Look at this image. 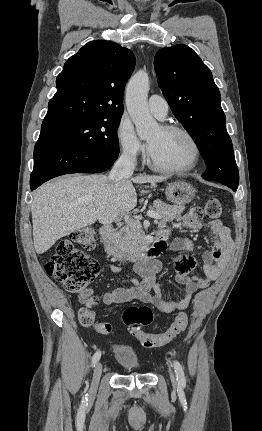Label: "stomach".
I'll return each instance as SVG.
<instances>
[{
    "mask_svg": "<svg viewBox=\"0 0 262 431\" xmlns=\"http://www.w3.org/2000/svg\"><path fill=\"white\" fill-rule=\"evenodd\" d=\"M165 194L167 200L182 206L191 202L194 198L195 188L187 182L175 181L166 187Z\"/></svg>",
    "mask_w": 262,
    "mask_h": 431,
    "instance_id": "0dacf381",
    "label": "stomach"
}]
</instances>
